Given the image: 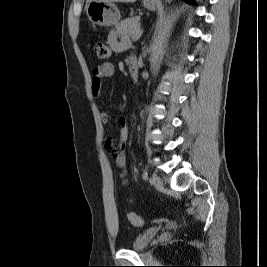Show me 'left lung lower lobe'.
I'll use <instances>...</instances> for the list:
<instances>
[{"label":"left lung lower lobe","mask_w":267,"mask_h":267,"mask_svg":"<svg viewBox=\"0 0 267 267\" xmlns=\"http://www.w3.org/2000/svg\"><path fill=\"white\" fill-rule=\"evenodd\" d=\"M185 2L190 3V4H194V0H185Z\"/></svg>","instance_id":"obj_1"}]
</instances>
